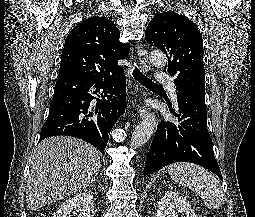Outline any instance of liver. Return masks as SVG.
Here are the masks:
<instances>
[{
	"label": "liver",
	"mask_w": 255,
	"mask_h": 217,
	"mask_svg": "<svg viewBox=\"0 0 255 217\" xmlns=\"http://www.w3.org/2000/svg\"><path fill=\"white\" fill-rule=\"evenodd\" d=\"M101 168L99 151L80 139L55 136L34 150L27 181L30 210L72 195L95 180Z\"/></svg>",
	"instance_id": "liver-1"
}]
</instances>
